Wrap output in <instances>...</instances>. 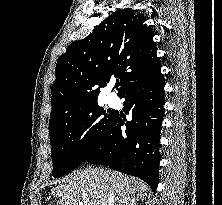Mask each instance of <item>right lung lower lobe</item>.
Listing matches in <instances>:
<instances>
[{
    "label": "right lung lower lobe",
    "instance_id": "right-lung-lower-lobe-1",
    "mask_svg": "<svg viewBox=\"0 0 222 205\" xmlns=\"http://www.w3.org/2000/svg\"><path fill=\"white\" fill-rule=\"evenodd\" d=\"M164 75L160 68L128 85L119 95L125 98V122L115 114L113 122L98 137L84 161L104 164L143 179L155 192L159 181V138L164 116ZM126 125L125 131L121 126Z\"/></svg>",
    "mask_w": 222,
    "mask_h": 205
}]
</instances>
